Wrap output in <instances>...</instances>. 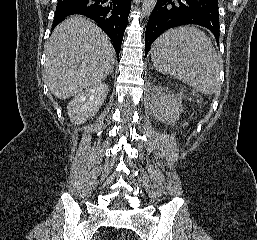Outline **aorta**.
<instances>
[{
  "label": "aorta",
  "instance_id": "1",
  "mask_svg": "<svg viewBox=\"0 0 257 240\" xmlns=\"http://www.w3.org/2000/svg\"><path fill=\"white\" fill-rule=\"evenodd\" d=\"M157 0H143L142 14L143 16H150Z\"/></svg>",
  "mask_w": 257,
  "mask_h": 240
}]
</instances>
